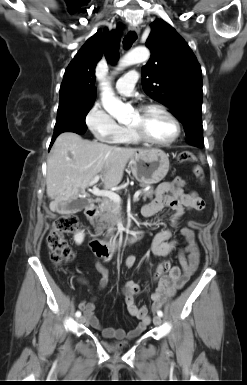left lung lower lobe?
I'll return each instance as SVG.
<instances>
[{
    "instance_id": "left-lung-lower-lobe-1",
    "label": "left lung lower lobe",
    "mask_w": 247,
    "mask_h": 385,
    "mask_svg": "<svg viewBox=\"0 0 247 385\" xmlns=\"http://www.w3.org/2000/svg\"><path fill=\"white\" fill-rule=\"evenodd\" d=\"M187 140L190 144L203 147V134L194 133L190 135H186Z\"/></svg>"
}]
</instances>
